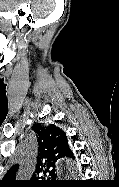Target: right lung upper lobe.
Returning a JSON list of instances; mask_svg holds the SVG:
<instances>
[{"label":"right lung upper lobe","mask_w":119,"mask_h":187,"mask_svg":"<svg viewBox=\"0 0 119 187\" xmlns=\"http://www.w3.org/2000/svg\"><path fill=\"white\" fill-rule=\"evenodd\" d=\"M32 129L37 133L39 142L37 174L41 175L44 169L50 168L59 160L73 157L66 134L59 127L53 124L48 127L36 124ZM17 172L18 165H14L9 169L5 178L14 180ZM2 184L4 185V182Z\"/></svg>","instance_id":"cb5924a9"}]
</instances>
